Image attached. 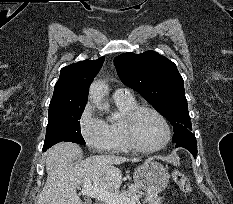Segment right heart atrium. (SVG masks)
I'll return each mask as SVG.
<instances>
[{
  "label": "right heart atrium",
  "mask_w": 233,
  "mask_h": 204,
  "mask_svg": "<svg viewBox=\"0 0 233 204\" xmlns=\"http://www.w3.org/2000/svg\"><path fill=\"white\" fill-rule=\"evenodd\" d=\"M80 134L87 147L94 152L109 149L105 122L96 113L94 106L87 103L79 118Z\"/></svg>",
  "instance_id": "right-heart-atrium-1"
}]
</instances>
